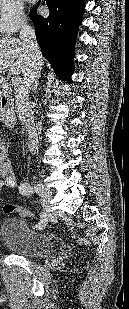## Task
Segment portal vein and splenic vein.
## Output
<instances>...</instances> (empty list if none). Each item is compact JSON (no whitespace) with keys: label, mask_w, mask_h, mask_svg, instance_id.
Instances as JSON below:
<instances>
[{"label":"portal vein and splenic vein","mask_w":129,"mask_h":309,"mask_svg":"<svg viewBox=\"0 0 129 309\" xmlns=\"http://www.w3.org/2000/svg\"><path fill=\"white\" fill-rule=\"evenodd\" d=\"M19 83L18 77L12 78V85H17Z\"/></svg>","instance_id":"portal-vein-and-splenic-vein-1"}]
</instances>
